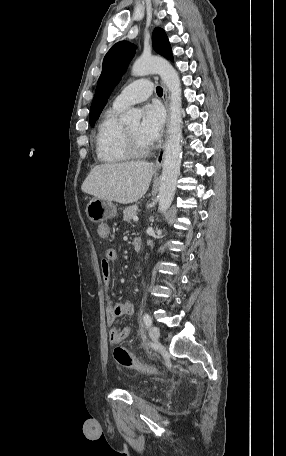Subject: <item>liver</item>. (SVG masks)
I'll use <instances>...</instances> for the list:
<instances>
[{
	"label": "liver",
	"mask_w": 286,
	"mask_h": 456,
	"mask_svg": "<svg viewBox=\"0 0 286 456\" xmlns=\"http://www.w3.org/2000/svg\"><path fill=\"white\" fill-rule=\"evenodd\" d=\"M153 166L146 161L97 165L88 174L81 189L101 200L133 203L147 192L154 174Z\"/></svg>",
	"instance_id": "6515ba94"
}]
</instances>
